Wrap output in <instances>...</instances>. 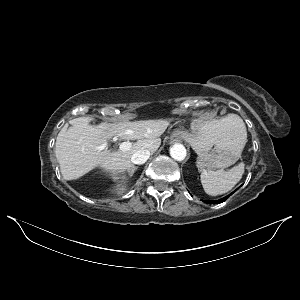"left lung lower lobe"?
Instances as JSON below:
<instances>
[{
    "mask_svg": "<svg viewBox=\"0 0 300 300\" xmlns=\"http://www.w3.org/2000/svg\"><path fill=\"white\" fill-rule=\"evenodd\" d=\"M226 199H227V197H224V198H221L219 200H204V202L209 203V204H215V203L219 204V203L224 202Z\"/></svg>",
    "mask_w": 300,
    "mask_h": 300,
    "instance_id": "1",
    "label": "left lung lower lobe"
}]
</instances>
